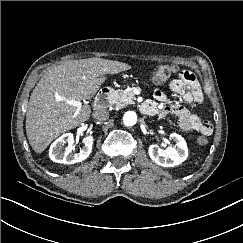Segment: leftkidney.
<instances>
[{
	"instance_id": "obj_1",
	"label": "left kidney",
	"mask_w": 243,
	"mask_h": 243,
	"mask_svg": "<svg viewBox=\"0 0 243 243\" xmlns=\"http://www.w3.org/2000/svg\"><path fill=\"white\" fill-rule=\"evenodd\" d=\"M170 139L176 142L175 147L159 148L158 145H151L148 154L153 162L162 167H174L187 159L188 147L185 139L177 134L171 133Z\"/></svg>"
}]
</instances>
